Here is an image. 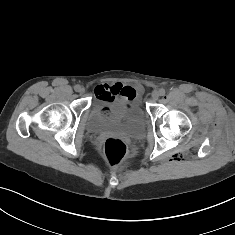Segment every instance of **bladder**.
<instances>
[{
    "mask_svg": "<svg viewBox=\"0 0 235 235\" xmlns=\"http://www.w3.org/2000/svg\"><path fill=\"white\" fill-rule=\"evenodd\" d=\"M88 130L93 133L119 131L139 136L145 127V115L138 100H96L90 108Z\"/></svg>",
    "mask_w": 235,
    "mask_h": 235,
    "instance_id": "bladder-1",
    "label": "bladder"
}]
</instances>
